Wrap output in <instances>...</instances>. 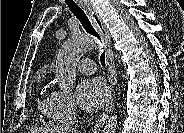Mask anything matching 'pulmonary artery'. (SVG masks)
Listing matches in <instances>:
<instances>
[{"mask_svg":"<svg viewBox=\"0 0 184 133\" xmlns=\"http://www.w3.org/2000/svg\"><path fill=\"white\" fill-rule=\"evenodd\" d=\"M78 70L84 74H91L95 71V63L91 59H82L77 65Z\"/></svg>","mask_w":184,"mask_h":133,"instance_id":"e3ab8cb5","label":"pulmonary artery"}]
</instances>
